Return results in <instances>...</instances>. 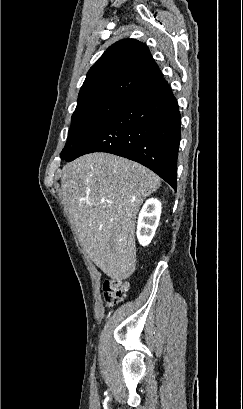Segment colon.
Here are the masks:
<instances>
[{"label":"colon","instance_id":"5ec220e1","mask_svg":"<svg viewBox=\"0 0 243 409\" xmlns=\"http://www.w3.org/2000/svg\"><path fill=\"white\" fill-rule=\"evenodd\" d=\"M128 291V285L121 281H106L103 285L104 300L107 305L120 303Z\"/></svg>","mask_w":243,"mask_h":409}]
</instances>
